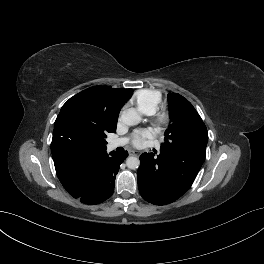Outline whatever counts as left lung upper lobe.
Masks as SVG:
<instances>
[{
    "mask_svg": "<svg viewBox=\"0 0 264 264\" xmlns=\"http://www.w3.org/2000/svg\"><path fill=\"white\" fill-rule=\"evenodd\" d=\"M168 102L172 124L165 132L161 150H190L194 145H207V128L192 104L177 93H169Z\"/></svg>",
    "mask_w": 264,
    "mask_h": 264,
    "instance_id": "obj_1",
    "label": "left lung upper lobe"
}]
</instances>
